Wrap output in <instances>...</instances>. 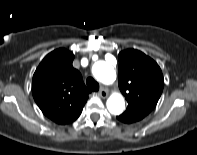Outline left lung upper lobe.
Here are the masks:
<instances>
[{"instance_id":"1","label":"left lung upper lobe","mask_w":197,"mask_h":155,"mask_svg":"<svg viewBox=\"0 0 197 155\" xmlns=\"http://www.w3.org/2000/svg\"><path fill=\"white\" fill-rule=\"evenodd\" d=\"M119 88L128 106L119 117L126 123L143 119L156 106L164 87L158 64L141 51L128 49L118 55Z\"/></svg>"}]
</instances>
